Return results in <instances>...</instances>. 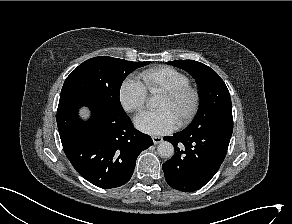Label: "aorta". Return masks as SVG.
<instances>
[{
	"instance_id": "1",
	"label": "aorta",
	"mask_w": 292,
	"mask_h": 224,
	"mask_svg": "<svg viewBox=\"0 0 292 224\" xmlns=\"http://www.w3.org/2000/svg\"><path fill=\"white\" fill-rule=\"evenodd\" d=\"M155 102V98H150V104ZM158 154L163 158H170L174 154V146L168 141H162L157 147Z\"/></svg>"
}]
</instances>
